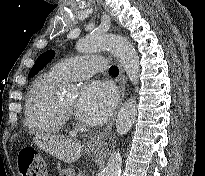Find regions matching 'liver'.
Here are the masks:
<instances>
[{
    "mask_svg": "<svg viewBox=\"0 0 205 176\" xmlns=\"http://www.w3.org/2000/svg\"><path fill=\"white\" fill-rule=\"evenodd\" d=\"M34 142L44 151L65 163L77 161L82 154L80 142L59 135L37 134Z\"/></svg>",
    "mask_w": 205,
    "mask_h": 176,
    "instance_id": "6515ba94",
    "label": "liver"
}]
</instances>
